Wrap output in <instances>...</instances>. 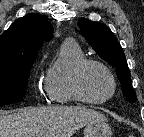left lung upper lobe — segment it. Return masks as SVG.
<instances>
[{"mask_svg": "<svg viewBox=\"0 0 144 137\" xmlns=\"http://www.w3.org/2000/svg\"><path fill=\"white\" fill-rule=\"evenodd\" d=\"M78 24L83 36L88 40L97 54L116 68L117 77L127 100L130 103L135 102L136 94L132 86L130 71L124 51L117 38L103 23L81 18Z\"/></svg>", "mask_w": 144, "mask_h": 137, "instance_id": "5c2ea615", "label": "left lung upper lobe"}]
</instances>
